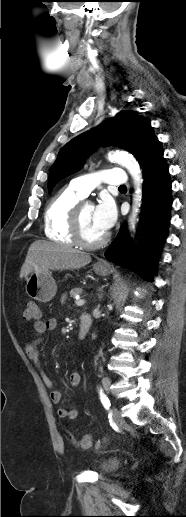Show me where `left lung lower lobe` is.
Masks as SVG:
<instances>
[{
    "instance_id": "1",
    "label": "left lung lower lobe",
    "mask_w": 186,
    "mask_h": 517,
    "mask_svg": "<svg viewBox=\"0 0 186 517\" xmlns=\"http://www.w3.org/2000/svg\"><path fill=\"white\" fill-rule=\"evenodd\" d=\"M139 164L143 170L144 178L143 201L147 208V238L141 263L136 265L142 271L136 272L141 277L152 281L155 258L162 241L166 238L172 206L171 181L159 141H156L147 153L139 159ZM105 257L122 266H125V262L131 258L129 240L125 230L118 233L105 252Z\"/></svg>"
}]
</instances>
